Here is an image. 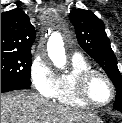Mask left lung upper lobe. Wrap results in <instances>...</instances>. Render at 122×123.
<instances>
[{
    "instance_id": "1",
    "label": "left lung upper lobe",
    "mask_w": 122,
    "mask_h": 123,
    "mask_svg": "<svg viewBox=\"0 0 122 123\" xmlns=\"http://www.w3.org/2000/svg\"><path fill=\"white\" fill-rule=\"evenodd\" d=\"M79 45L106 72L116 88L114 109L122 111V76L117 67V60L111 49L105 26L93 12L75 9L69 14Z\"/></svg>"
}]
</instances>
